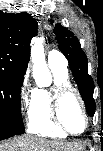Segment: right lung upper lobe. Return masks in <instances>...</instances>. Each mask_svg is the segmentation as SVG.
<instances>
[{
	"mask_svg": "<svg viewBox=\"0 0 103 151\" xmlns=\"http://www.w3.org/2000/svg\"><path fill=\"white\" fill-rule=\"evenodd\" d=\"M37 23L26 12H0V69L24 76Z\"/></svg>",
	"mask_w": 103,
	"mask_h": 151,
	"instance_id": "1",
	"label": "right lung upper lobe"
}]
</instances>
